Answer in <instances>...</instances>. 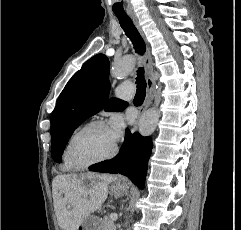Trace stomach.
<instances>
[{
    "instance_id": "1",
    "label": "stomach",
    "mask_w": 241,
    "mask_h": 230,
    "mask_svg": "<svg viewBox=\"0 0 241 230\" xmlns=\"http://www.w3.org/2000/svg\"><path fill=\"white\" fill-rule=\"evenodd\" d=\"M84 180L90 179L87 175H84L81 179H78L80 183H83ZM127 190V183L118 179L115 180L114 183L110 186V193L115 197L123 196ZM77 230H100V225L94 219L86 218Z\"/></svg>"
}]
</instances>
